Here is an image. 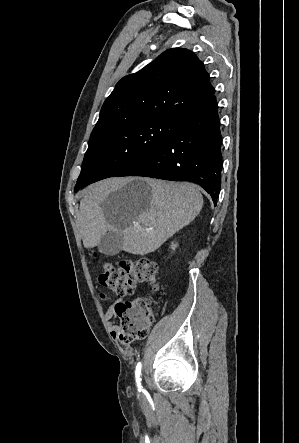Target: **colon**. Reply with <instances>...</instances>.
<instances>
[{
	"label": "colon",
	"instance_id": "colon-1",
	"mask_svg": "<svg viewBox=\"0 0 299 443\" xmlns=\"http://www.w3.org/2000/svg\"><path fill=\"white\" fill-rule=\"evenodd\" d=\"M157 264L148 259L122 261L119 267L105 263L99 275L100 283L118 295H131L137 283H149L157 288ZM119 319L118 338L126 349L145 338L155 322V315L145 298L119 302L115 305Z\"/></svg>",
	"mask_w": 299,
	"mask_h": 443
}]
</instances>
